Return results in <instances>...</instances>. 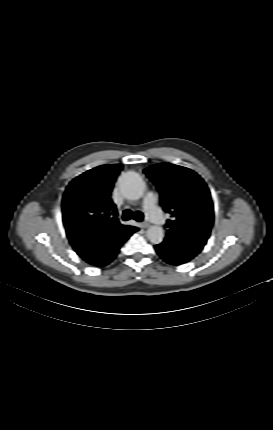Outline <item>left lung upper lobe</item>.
<instances>
[{
  "mask_svg": "<svg viewBox=\"0 0 273 430\" xmlns=\"http://www.w3.org/2000/svg\"><path fill=\"white\" fill-rule=\"evenodd\" d=\"M144 172L158 188L164 211L171 215L166 238L191 260L205 246L214 221L207 185L193 170L170 163L150 166Z\"/></svg>",
  "mask_w": 273,
  "mask_h": 430,
  "instance_id": "left-lung-upper-lobe-1",
  "label": "left lung upper lobe"
}]
</instances>
